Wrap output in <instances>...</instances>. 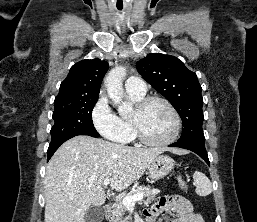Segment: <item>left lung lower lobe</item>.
<instances>
[{
  "label": "left lung lower lobe",
  "instance_id": "left-lung-lower-lobe-1",
  "mask_svg": "<svg viewBox=\"0 0 257 222\" xmlns=\"http://www.w3.org/2000/svg\"><path fill=\"white\" fill-rule=\"evenodd\" d=\"M170 147H179L191 150L198 154L208 165H210L207 151L205 149V142H188V143H181V142H175Z\"/></svg>",
  "mask_w": 257,
  "mask_h": 222
}]
</instances>
